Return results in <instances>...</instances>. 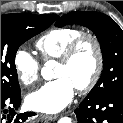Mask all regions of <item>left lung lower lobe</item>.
<instances>
[{
    "label": "left lung lower lobe",
    "mask_w": 123,
    "mask_h": 123,
    "mask_svg": "<svg viewBox=\"0 0 123 123\" xmlns=\"http://www.w3.org/2000/svg\"><path fill=\"white\" fill-rule=\"evenodd\" d=\"M74 112L78 123H123V91L86 96Z\"/></svg>",
    "instance_id": "1"
}]
</instances>
